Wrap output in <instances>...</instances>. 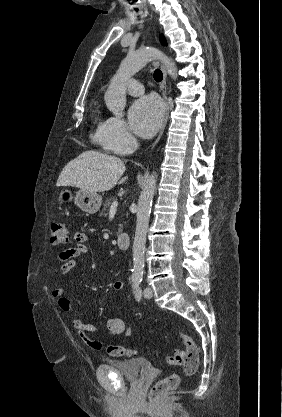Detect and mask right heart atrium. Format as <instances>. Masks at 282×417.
I'll use <instances>...</instances> for the list:
<instances>
[{
    "instance_id": "d8ad5b80",
    "label": "right heart atrium",
    "mask_w": 282,
    "mask_h": 417,
    "mask_svg": "<svg viewBox=\"0 0 282 417\" xmlns=\"http://www.w3.org/2000/svg\"><path fill=\"white\" fill-rule=\"evenodd\" d=\"M106 147L119 154L130 153L135 148V138L120 118L112 117L110 120Z\"/></svg>"
}]
</instances>
